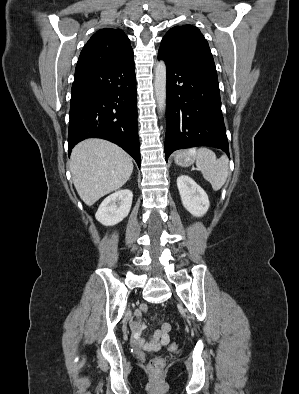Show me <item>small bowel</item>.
I'll list each match as a JSON object with an SVG mask.
<instances>
[{
    "label": "small bowel",
    "mask_w": 299,
    "mask_h": 394,
    "mask_svg": "<svg viewBox=\"0 0 299 394\" xmlns=\"http://www.w3.org/2000/svg\"><path fill=\"white\" fill-rule=\"evenodd\" d=\"M147 310L146 305H141L135 313L137 320L131 325L132 343L137 349L142 351L155 352L169 344L170 325L168 323H162L148 338L143 337L145 324L141 320V317Z\"/></svg>",
    "instance_id": "1"
}]
</instances>
